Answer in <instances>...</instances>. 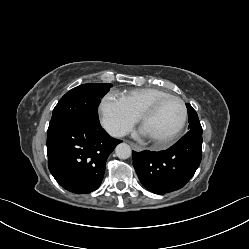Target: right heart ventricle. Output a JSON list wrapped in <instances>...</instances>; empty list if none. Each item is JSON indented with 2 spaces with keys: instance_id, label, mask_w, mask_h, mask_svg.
Returning a JSON list of instances; mask_svg holds the SVG:
<instances>
[{
  "instance_id": "e07e8e85",
  "label": "right heart ventricle",
  "mask_w": 249,
  "mask_h": 249,
  "mask_svg": "<svg viewBox=\"0 0 249 249\" xmlns=\"http://www.w3.org/2000/svg\"><path fill=\"white\" fill-rule=\"evenodd\" d=\"M170 95L166 91L156 88H139L124 92L120 99L138 117L141 112L159 98Z\"/></svg>"
}]
</instances>
